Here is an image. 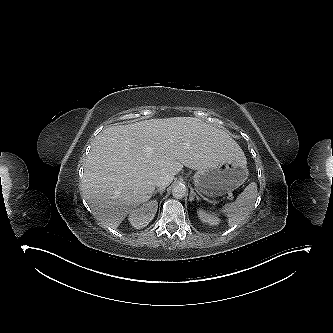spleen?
<instances>
[{
  "instance_id": "1",
  "label": "spleen",
  "mask_w": 333,
  "mask_h": 333,
  "mask_svg": "<svg viewBox=\"0 0 333 333\" xmlns=\"http://www.w3.org/2000/svg\"><path fill=\"white\" fill-rule=\"evenodd\" d=\"M257 192V185L255 182H252L234 202L225 204L221 208L220 212L227 216L230 227L242 223L247 218L254 207Z\"/></svg>"
}]
</instances>
